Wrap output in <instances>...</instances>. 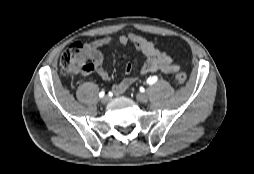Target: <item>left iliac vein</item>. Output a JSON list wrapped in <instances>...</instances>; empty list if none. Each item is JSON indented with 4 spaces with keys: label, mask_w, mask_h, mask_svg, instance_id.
<instances>
[{
    "label": "left iliac vein",
    "mask_w": 254,
    "mask_h": 174,
    "mask_svg": "<svg viewBox=\"0 0 254 174\" xmlns=\"http://www.w3.org/2000/svg\"><path fill=\"white\" fill-rule=\"evenodd\" d=\"M136 99L138 102L146 103L148 101V96L144 93H138Z\"/></svg>",
    "instance_id": "1"
}]
</instances>
